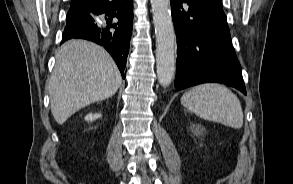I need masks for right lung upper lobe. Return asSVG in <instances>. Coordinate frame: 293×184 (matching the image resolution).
Returning <instances> with one entry per match:
<instances>
[{
  "label": "right lung upper lobe",
  "instance_id": "cb5924a9",
  "mask_svg": "<svg viewBox=\"0 0 293 184\" xmlns=\"http://www.w3.org/2000/svg\"><path fill=\"white\" fill-rule=\"evenodd\" d=\"M82 1H92V0H72L70 6L81 3Z\"/></svg>",
  "mask_w": 293,
  "mask_h": 184
}]
</instances>
